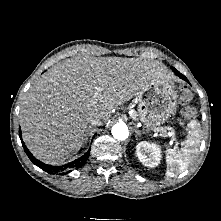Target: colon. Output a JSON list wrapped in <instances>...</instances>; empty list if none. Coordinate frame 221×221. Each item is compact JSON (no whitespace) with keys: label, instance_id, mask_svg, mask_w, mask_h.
<instances>
[{"label":"colon","instance_id":"1","mask_svg":"<svg viewBox=\"0 0 221 221\" xmlns=\"http://www.w3.org/2000/svg\"><path fill=\"white\" fill-rule=\"evenodd\" d=\"M190 98H191L190 92L188 90H184L181 94V100L183 102H188L190 100ZM181 113L185 118H190V117L194 116L195 110L191 107L185 106L182 108Z\"/></svg>","mask_w":221,"mask_h":221}]
</instances>
